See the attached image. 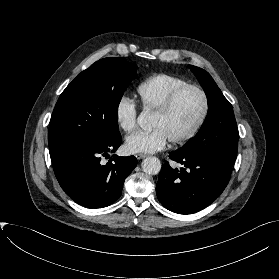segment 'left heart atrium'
I'll use <instances>...</instances> for the list:
<instances>
[{
	"label": "left heart atrium",
	"instance_id": "1",
	"mask_svg": "<svg viewBox=\"0 0 279 279\" xmlns=\"http://www.w3.org/2000/svg\"><path fill=\"white\" fill-rule=\"evenodd\" d=\"M165 132L160 128L151 131H139L126 139V149L130 153H154L163 150L168 142Z\"/></svg>",
	"mask_w": 279,
	"mask_h": 279
}]
</instances>
